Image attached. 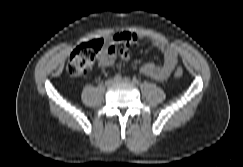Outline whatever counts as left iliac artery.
<instances>
[{
	"mask_svg": "<svg viewBox=\"0 0 243 167\" xmlns=\"http://www.w3.org/2000/svg\"><path fill=\"white\" fill-rule=\"evenodd\" d=\"M132 82H133L134 84H138V83H139L138 79L135 78V77L132 79Z\"/></svg>",
	"mask_w": 243,
	"mask_h": 167,
	"instance_id": "44dca946",
	"label": "left iliac artery"
}]
</instances>
